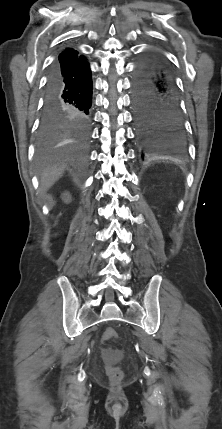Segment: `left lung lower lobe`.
I'll return each instance as SVG.
<instances>
[{"mask_svg":"<svg viewBox=\"0 0 222 429\" xmlns=\"http://www.w3.org/2000/svg\"><path fill=\"white\" fill-rule=\"evenodd\" d=\"M133 108L143 160L184 148L179 94L172 70L161 56L149 53L138 61L133 75Z\"/></svg>","mask_w":222,"mask_h":429,"instance_id":"1","label":"left lung lower lobe"}]
</instances>
